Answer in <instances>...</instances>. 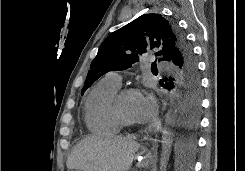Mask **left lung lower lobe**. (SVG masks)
I'll return each instance as SVG.
<instances>
[{"label":"left lung lower lobe","instance_id":"obj_1","mask_svg":"<svg viewBox=\"0 0 245 171\" xmlns=\"http://www.w3.org/2000/svg\"><path fill=\"white\" fill-rule=\"evenodd\" d=\"M192 55L191 49L190 53L187 50L184 54L177 53L172 58L171 63L175 66V74L173 77L165 78L166 83L163 85L169 90L176 87L178 94L180 123L184 131L176 136L175 148L179 159L177 167L183 168L190 167L196 145L195 136L190 131L198 123L201 105L197 62L191 59Z\"/></svg>","mask_w":245,"mask_h":171}]
</instances>
